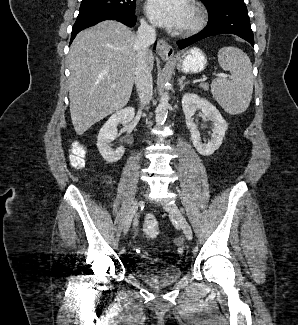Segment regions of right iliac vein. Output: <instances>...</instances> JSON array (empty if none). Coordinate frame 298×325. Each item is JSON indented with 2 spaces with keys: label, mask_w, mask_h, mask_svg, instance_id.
Listing matches in <instances>:
<instances>
[{
  "label": "right iliac vein",
  "mask_w": 298,
  "mask_h": 325,
  "mask_svg": "<svg viewBox=\"0 0 298 325\" xmlns=\"http://www.w3.org/2000/svg\"><path fill=\"white\" fill-rule=\"evenodd\" d=\"M137 209H138V200L135 199L131 204L127 219L125 221L124 234H126L128 232L129 227L131 225V221H132L134 215L136 214Z\"/></svg>",
  "instance_id": "right-iliac-vein-1"
}]
</instances>
